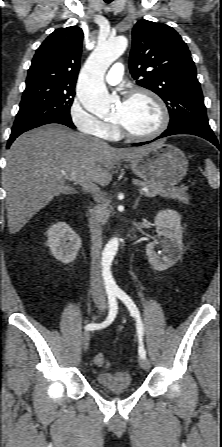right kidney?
<instances>
[{"label": "right kidney", "mask_w": 222, "mask_h": 447, "mask_svg": "<svg viewBox=\"0 0 222 447\" xmlns=\"http://www.w3.org/2000/svg\"><path fill=\"white\" fill-rule=\"evenodd\" d=\"M47 245L60 262H73L81 248V238L64 222L52 225L47 231Z\"/></svg>", "instance_id": "obj_1"}]
</instances>
